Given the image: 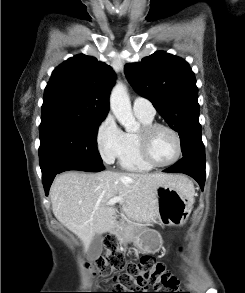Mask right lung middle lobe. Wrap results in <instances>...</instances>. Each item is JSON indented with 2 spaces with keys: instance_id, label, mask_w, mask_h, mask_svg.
Wrapping results in <instances>:
<instances>
[{
  "instance_id": "obj_1",
  "label": "right lung middle lobe",
  "mask_w": 245,
  "mask_h": 293,
  "mask_svg": "<svg viewBox=\"0 0 245 293\" xmlns=\"http://www.w3.org/2000/svg\"><path fill=\"white\" fill-rule=\"evenodd\" d=\"M103 119L63 113L41 116L39 160L42 176L61 162L89 161L102 164L97 131Z\"/></svg>"
}]
</instances>
